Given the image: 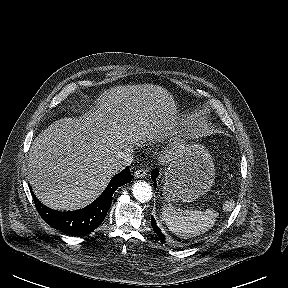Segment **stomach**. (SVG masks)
I'll return each instance as SVG.
<instances>
[{
    "label": "stomach",
    "mask_w": 288,
    "mask_h": 288,
    "mask_svg": "<svg viewBox=\"0 0 288 288\" xmlns=\"http://www.w3.org/2000/svg\"><path fill=\"white\" fill-rule=\"evenodd\" d=\"M164 175L163 196L168 202H192L207 193L214 183L213 158L198 143L180 146Z\"/></svg>",
    "instance_id": "1"
}]
</instances>
